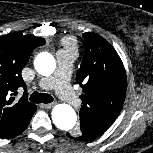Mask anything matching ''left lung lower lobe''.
I'll use <instances>...</instances> for the list:
<instances>
[{
  "instance_id": "0a47b994",
  "label": "left lung lower lobe",
  "mask_w": 153,
  "mask_h": 153,
  "mask_svg": "<svg viewBox=\"0 0 153 153\" xmlns=\"http://www.w3.org/2000/svg\"><path fill=\"white\" fill-rule=\"evenodd\" d=\"M67 136L70 137V138H72V139L79 140V141H90V140H93V139L86 138L84 136H76V137H73L69 133H67Z\"/></svg>"
}]
</instances>
